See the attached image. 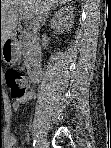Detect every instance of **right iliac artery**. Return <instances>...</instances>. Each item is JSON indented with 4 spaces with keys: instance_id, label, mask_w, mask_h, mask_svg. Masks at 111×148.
I'll return each instance as SVG.
<instances>
[{
    "instance_id": "right-iliac-artery-1",
    "label": "right iliac artery",
    "mask_w": 111,
    "mask_h": 148,
    "mask_svg": "<svg viewBox=\"0 0 111 148\" xmlns=\"http://www.w3.org/2000/svg\"><path fill=\"white\" fill-rule=\"evenodd\" d=\"M35 144H36V140H34V142H33V146H35Z\"/></svg>"
}]
</instances>
